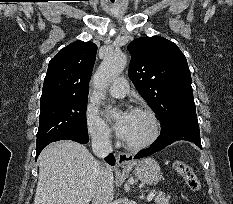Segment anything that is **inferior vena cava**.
<instances>
[{
    "mask_svg": "<svg viewBox=\"0 0 233 204\" xmlns=\"http://www.w3.org/2000/svg\"><path fill=\"white\" fill-rule=\"evenodd\" d=\"M93 153L99 158H105L112 152L109 135L98 133L92 137ZM113 175L108 165H103L101 178L93 195L92 204H113Z\"/></svg>",
    "mask_w": 233,
    "mask_h": 204,
    "instance_id": "602c4592",
    "label": "inferior vena cava"
}]
</instances>
